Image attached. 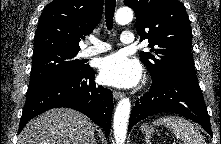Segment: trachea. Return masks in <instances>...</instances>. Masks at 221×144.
Listing matches in <instances>:
<instances>
[{
  "instance_id": "obj_1",
  "label": "trachea",
  "mask_w": 221,
  "mask_h": 144,
  "mask_svg": "<svg viewBox=\"0 0 221 144\" xmlns=\"http://www.w3.org/2000/svg\"><path fill=\"white\" fill-rule=\"evenodd\" d=\"M115 7H116V0H106L105 19L108 30L113 28V17H114Z\"/></svg>"
}]
</instances>
